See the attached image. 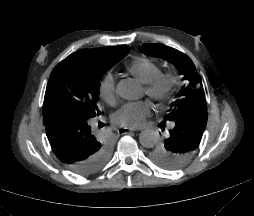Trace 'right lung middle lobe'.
Returning a JSON list of instances; mask_svg holds the SVG:
<instances>
[{"mask_svg": "<svg viewBox=\"0 0 254 216\" xmlns=\"http://www.w3.org/2000/svg\"><path fill=\"white\" fill-rule=\"evenodd\" d=\"M112 65L109 60L89 51L80 50L69 55L55 66L49 77L43 116L63 113L92 119L100 115L96 105L100 78ZM108 156L109 151L104 150L99 161L84 175L99 170Z\"/></svg>", "mask_w": 254, "mask_h": 216, "instance_id": "obj_1", "label": "right lung middle lobe"}]
</instances>
